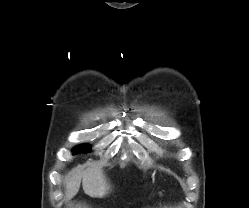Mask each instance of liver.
I'll return each instance as SVG.
<instances>
[{
    "mask_svg": "<svg viewBox=\"0 0 249 208\" xmlns=\"http://www.w3.org/2000/svg\"><path fill=\"white\" fill-rule=\"evenodd\" d=\"M81 181L84 192L91 197L102 198L109 192L110 186L101 167L92 164L83 171H72L65 178L67 199H72L78 193Z\"/></svg>",
    "mask_w": 249,
    "mask_h": 208,
    "instance_id": "6515ba94",
    "label": "liver"
}]
</instances>
